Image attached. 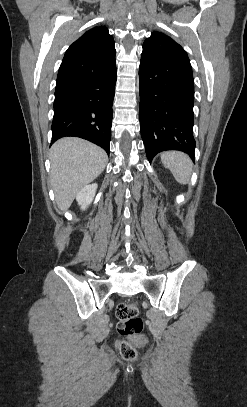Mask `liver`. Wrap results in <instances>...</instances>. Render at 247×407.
I'll return each mask as SVG.
<instances>
[{
  "label": "liver",
  "instance_id": "1",
  "mask_svg": "<svg viewBox=\"0 0 247 407\" xmlns=\"http://www.w3.org/2000/svg\"><path fill=\"white\" fill-rule=\"evenodd\" d=\"M50 182L61 211H66L79 191L95 180L108 162L100 147L75 137H66L50 150Z\"/></svg>",
  "mask_w": 247,
  "mask_h": 407
}]
</instances>
